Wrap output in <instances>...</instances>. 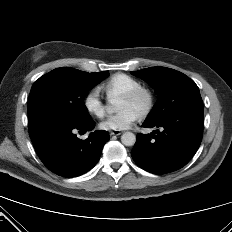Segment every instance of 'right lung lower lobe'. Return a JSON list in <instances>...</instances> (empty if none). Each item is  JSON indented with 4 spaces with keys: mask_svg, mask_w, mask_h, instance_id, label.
Returning <instances> with one entry per match:
<instances>
[{
    "mask_svg": "<svg viewBox=\"0 0 232 232\" xmlns=\"http://www.w3.org/2000/svg\"><path fill=\"white\" fill-rule=\"evenodd\" d=\"M94 126L92 119L70 122L37 118L29 120V135L38 156L50 171L63 177H75L96 165L109 140L107 131H95L86 140L77 138L76 130L90 131Z\"/></svg>",
    "mask_w": 232,
    "mask_h": 232,
    "instance_id": "obj_1",
    "label": "right lung lower lobe"
}]
</instances>
